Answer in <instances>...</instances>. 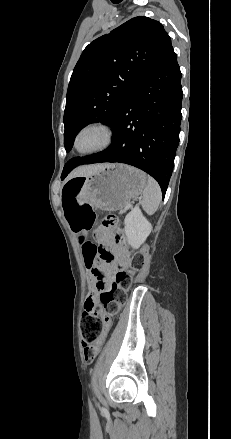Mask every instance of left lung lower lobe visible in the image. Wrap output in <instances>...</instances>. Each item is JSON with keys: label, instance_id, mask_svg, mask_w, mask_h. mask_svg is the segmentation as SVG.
Returning a JSON list of instances; mask_svg holds the SVG:
<instances>
[{"label": "left lung lower lobe", "instance_id": "obj_1", "mask_svg": "<svg viewBox=\"0 0 231 439\" xmlns=\"http://www.w3.org/2000/svg\"><path fill=\"white\" fill-rule=\"evenodd\" d=\"M181 72L173 48L131 90L111 127L113 144L106 150L68 161L78 165L120 162L151 175L163 197L179 144L182 103Z\"/></svg>", "mask_w": 231, "mask_h": 439}]
</instances>
